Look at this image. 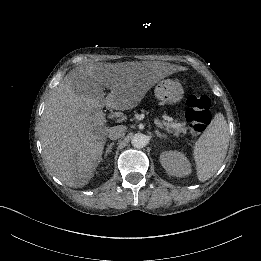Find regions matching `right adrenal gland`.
<instances>
[{"mask_svg": "<svg viewBox=\"0 0 261 261\" xmlns=\"http://www.w3.org/2000/svg\"><path fill=\"white\" fill-rule=\"evenodd\" d=\"M114 146V143H111L107 146V150L104 154V158L106 159L108 155H111L112 153V147ZM111 161V159H109V162Z\"/></svg>", "mask_w": 261, "mask_h": 261, "instance_id": "1", "label": "right adrenal gland"}]
</instances>
